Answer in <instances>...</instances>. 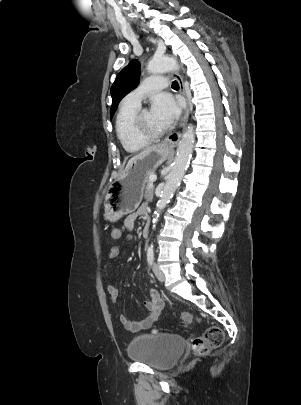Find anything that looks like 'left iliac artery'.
Segmentation results:
<instances>
[{
    "label": "left iliac artery",
    "mask_w": 301,
    "mask_h": 405,
    "mask_svg": "<svg viewBox=\"0 0 301 405\" xmlns=\"http://www.w3.org/2000/svg\"><path fill=\"white\" fill-rule=\"evenodd\" d=\"M153 260H154V251H153V247H149L147 249V261L148 264L151 266L153 264Z\"/></svg>",
    "instance_id": "44dca946"
}]
</instances>
